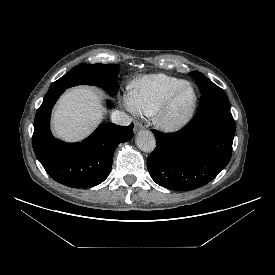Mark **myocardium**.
<instances>
[{"instance_id": "obj_1", "label": "myocardium", "mask_w": 275, "mask_h": 275, "mask_svg": "<svg viewBox=\"0 0 275 275\" xmlns=\"http://www.w3.org/2000/svg\"><path fill=\"white\" fill-rule=\"evenodd\" d=\"M189 89L192 92L191 102L186 111L180 116H172V110L175 105L178 95L184 90ZM198 105V95L195 88L185 82L175 88L160 104L154 113L155 124L166 132H176L185 128L194 118Z\"/></svg>"}]
</instances>
